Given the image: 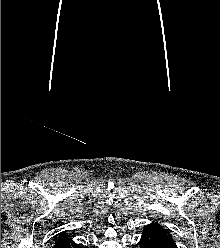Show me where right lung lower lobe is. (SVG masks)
<instances>
[{
  "label": "right lung lower lobe",
  "instance_id": "98d812e1",
  "mask_svg": "<svg viewBox=\"0 0 220 248\" xmlns=\"http://www.w3.org/2000/svg\"><path fill=\"white\" fill-rule=\"evenodd\" d=\"M54 248H77V245L71 238H65L55 243Z\"/></svg>",
  "mask_w": 220,
  "mask_h": 248
}]
</instances>
